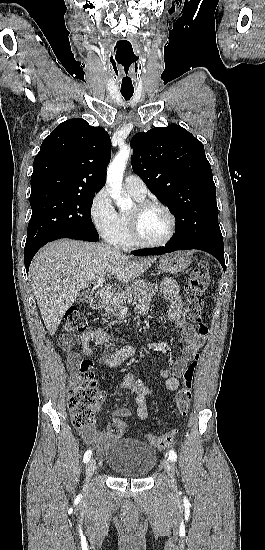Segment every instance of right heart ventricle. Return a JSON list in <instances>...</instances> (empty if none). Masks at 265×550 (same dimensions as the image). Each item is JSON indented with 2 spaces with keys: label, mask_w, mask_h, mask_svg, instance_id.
<instances>
[{
  "label": "right heart ventricle",
  "mask_w": 265,
  "mask_h": 550,
  "mask_svg": "<svg viewBox=\"0 0 265 550\" xmlns=\"http://www.w3.org/2000/svg\"><path fill=\"white\" fill-rule=\"evenodd\" d=\"M137 202H141L144 200V197H138L132 193H129ZM118 219H119V230L115 238L112 240V243L121 246L123 248H131L133 246L131 237H130V230H129V212L127 211H120L118 213Z\"/></svg>",
  "instance_id": "right-heart-ventricle-1"
}]
</instances>
